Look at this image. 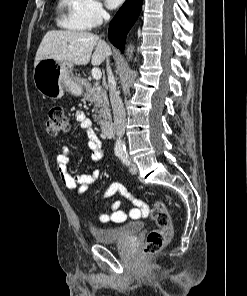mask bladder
<instances>
[{
  "mask_svg": "<svg viewBox=\"0 0 247 296\" xmlns=\"http://www.w3.org/2000/svg\"><path fill=\"white\" fill-rule=\"evenodd\" d=\"M144 227L140 221L128 222L116 228L92 227L91 233L94 240L102 244L123 242L139 233Z\"/></svg>",
  "mask_w": 247,
  "mask_h": 296,
  "instance_id": "bladder-1",
  "label": "bladder"
}]
</instances>
